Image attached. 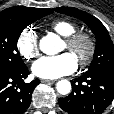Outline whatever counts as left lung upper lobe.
I'll return each instance as SVG.
<instances>
[{"mask_svg": "<svg viewBox=\"0 0 114 114\" xmlns=\"http://www.w3.org/2000/svg\"><path fill=\"white\" fill-rule=\"evenodd\" d=\"M55 11L84 21L95 34L96 48L87 72L114 70V45L104 25L94 16L72 7L54 8Z\"/></svg>", "mask_w": 114, "mask_h": 114, "instance_id": "5c2ea615", "label": "left lung upper lobe"}]
</instances>
